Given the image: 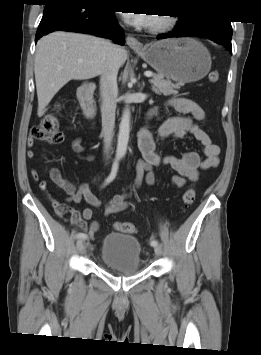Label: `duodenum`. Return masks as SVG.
<instances>
[{
    "label": "duodenum",
    "mask_w": 261,
    "mask_h": 355,
    "mask_svg": "<svg viewBox=\"0 0 261 355\" xmlns=\"http://www.w3.org/2000/svg\"><path fill=\"white\" fill-rule=\"evenodd\" d=\"M95 88L96 86L94 83H87L82 85L78 90V99L81 108L84 115L89 120H94L96 116V107L93 98Z\"/></svg>",
    "instance_id": "1"
}]
</instances>
